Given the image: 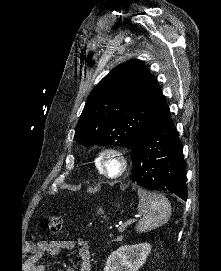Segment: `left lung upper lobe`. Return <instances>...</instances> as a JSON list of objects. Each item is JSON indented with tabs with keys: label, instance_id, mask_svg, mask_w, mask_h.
<instances>
[{
	"label": "left lung upper lobe",
	"instance_id": "5c2ea615",
	"mask_svg": "<svg viewBox=\"0 0 221 271\" xmlns=\"http://www.w3.org/2000/svg\"><path fill=\"white\" fill-rule=\"evenodd\" d=\"M169 113L156 78L139 60L131 59L112 69L91 91L75 138L84 146L131 148L143 132Z\"/></svg>",
	"mask_w": 221,
	"mask_h": 271
}]
</instances>
